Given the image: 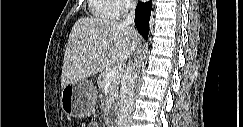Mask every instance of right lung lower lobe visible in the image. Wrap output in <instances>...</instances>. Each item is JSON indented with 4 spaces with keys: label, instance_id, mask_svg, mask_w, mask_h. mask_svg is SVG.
Returning <instances> with one entry per match:
<instances>
[{
    "label": "right lung lower lobe",
    "instance_id": "obj_1",
    "mask_svg": "<svg viewBox=\"0 0 243 127\" xmlns=\"http://www.w3.org/2000/svg\"><path fill=\"white\" fill-rule=\"evenodd\" d=\"M152 9V2L142 3L140 2L135 10V26L138 32L147 40L149 19Z\"/></svg>",
    "mask_w": 243,
    "mask_h": 127
}]
</instances>
